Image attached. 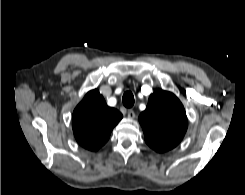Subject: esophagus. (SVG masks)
Returning a JSON list of instances; mask_svg holds the SVG:
<instances>
[{
  "mask_svg": "<svg viewBox=\"0 0 245 195\" xmlns=\"http://www.w3.org/2000/svg\"><path fill=\"white\" fill-rule=\"evenodd\" d=\"M127 116L128 118L134 119L136 115H135V112L132 109H130L127 112Z\"/></svg>",
  "mask_w": 245,
  "mask_h": 195,
  "instance_id": "1",
  "label": "esophagus"
}]
</instances>
